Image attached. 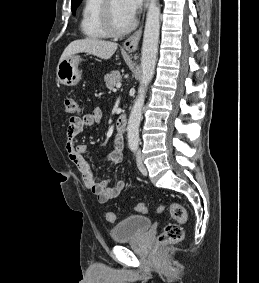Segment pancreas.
I'll return each mask as SVG.
<instances>
[{
  "mask_svg": "<svg viewBox=\"0 0 259 283\" xmlns=\"http://www.w3.org/2000/svg\"><path fill=\"white\" fill-rule=\"evenodd\" d=\"M104 81L106 84V87L109 90H113L114 86L120 83L121 81V75L119 71H111L107 75L104 76Z\"/></svg>",
  "mask_w": 259,
  "mask_h": 283,
  "instance_id": "obj_1",
  "label": "pancreas"
}]
</instances>
